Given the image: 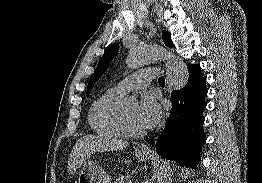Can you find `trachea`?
Here are the masks:
<instances>
[{"label": "trachea", "instance_id": "trachea-1", "mask_svg": "<svg viewBox=\"0 0 262 183\" xmlns=\"http://www.w3.org/2000/svg\"><path fill=\"white\" fill-rule=\"evenodd\" d=\"M158 81H159V84H160V85H165V79H164V77H160Z\"/></svg>", "mask_w": 262, "mask_h": 183}]
</instances>
